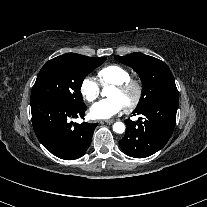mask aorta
Wrapping results in <instances>:
<instances>
[{"instance_id":"762f6f07","label":"aorta","mask_w":207,"mask_h":207,"mask_svg":"<svg viewBox=\"0 0 207 207\" xmlns=\"http://www.w3.org/2000/svg\"><path fill=\"white\" fill-rule=\"evenodd\" d=\"M111 86H104L102 89V96H108V92L110 90ZM113 131L116 133H123L125 131V125L122 122H116L113 125Z\"/></svg>"}]
</instances>
